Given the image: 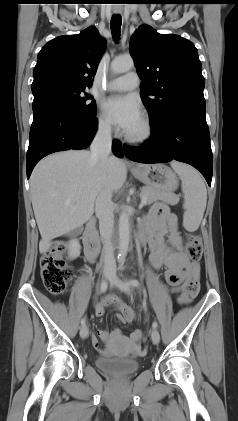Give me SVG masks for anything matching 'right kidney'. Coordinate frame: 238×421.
Here are the masks:
<instances>
[{
    "label": "right kidney",
    "mask_w": 238,
    "mask_h": 421,
    "mask_svg": "<svg viewBox=\"0 0 238 421\" xmlns=\"http://www.w3.org/2000/svg\"><path fill=\"white\" fill-rule=\"evenodd\" d=\"M79 254H80L79 241L77 239H73L69 242V246H68L69 258L75 259L79 256Z\"/></svg>",
    "instance_id": "ca27d5eb"
}]
</instances>
